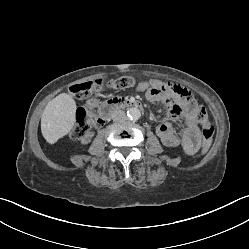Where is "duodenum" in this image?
I'll use <instances>...</instances> for the list:
<instances>
[{"label":"duodenum","mask_w":249,"mask_h":249,"mask_svg":"<svg viewBox=\"0 0 249 249\" xmlns=\"http://www.w3.org/2000/svg\"><path fill=\"white\" fill-rule=\"evenodd\" d=\"M121 108H136L138 110L143 109L141 102L138 100L118 97L112 98L102 106V120H107L116 110Z\"/></svg>","instance_id":"1"}]
</instances>
